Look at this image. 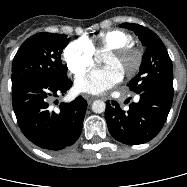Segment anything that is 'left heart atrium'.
<instances>
[{
	"mask_svg": "<svg viewBox=\"0 0 187 187\" xmlns=\"http://www.w3.org/2000/svg\"><path fill=\"white\" fill-rule=\"evenodd\" d=\"M122 75L112 67L95 69L78 78L75 88L80 93L100 95L118 84Z\"/></svg>",
	"mask_w": 187,
	"mask_h": 187,
	"instance_id": "obj_1",
	"label": "left heart atrium"
}]
</instances>
